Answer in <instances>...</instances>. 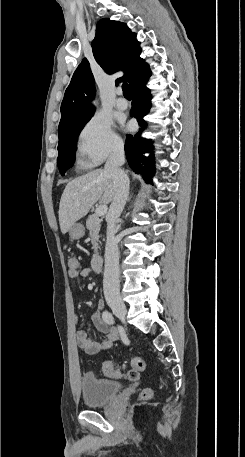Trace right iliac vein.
Masks as SVG:
<instances>
[{
    "label": "right iliac vein",
    "instance_id": "right-iliac-vein-1",
    "mask_svg": "<svg viewBox=\"0 0 245 457\" xmlns=\"http://www.w3.org/2000/svg\"><path fill=\"white\" fill-rule=\"evenodd\" d=\"M107 303L118 318L121 320L125 319L127 308L120 297L107 296Z\"/></svg>",
    "mask_w": 245,
    "mask_h": 457
}]
</instances>
